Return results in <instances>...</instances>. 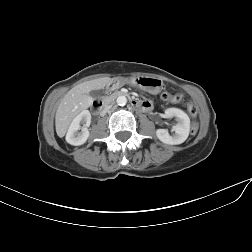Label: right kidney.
Here are the masks:
<instances>
[{
	"mask_svg": "<svg viewBox=\"0 0 252 252\" xmlns=\"http://www.w3.org/2000/svg\"><path fill=\"white\" fill-rule=\"evenodd\" d=\"M90 123L91 113L89 112V110H83L82 112H80L73 119L69 126L68 132L66 134V141L74 146L84 144L89 137L88 127L90 126Z\"/></svg>",
	"mask_w": 252,
	"mask_h": 252,
	"instance_id": "1",
	"label": "right kidney"
}]
</instances>
